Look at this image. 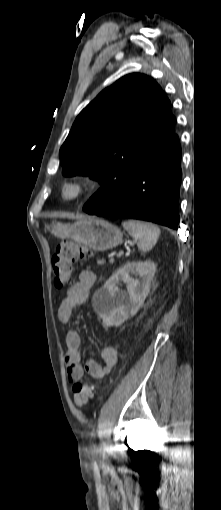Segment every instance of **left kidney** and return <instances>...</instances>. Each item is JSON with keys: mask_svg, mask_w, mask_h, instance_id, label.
I'll return each mask as SVG.
<instances>
[{"mask_svg": "<svg viewBox=\"0 0 221 510\" xmlns=\"http://www.w3.org/2000/svg\"><path fill=\"white\" fill-rule=\"evenodd\" d=\"M155 272L156 264L150 260L128 262L94 293L93 308L102 318L105 328L120 326L138 312L149 293ZM130 274L139 275L141 280L130 277ZM120 281L126 283V291L117 287Z\"/></svg>", "mask_w": 221, "mask_h": 510, "instance_id": "left-kidney-1", "label": "left kidney"}]
</instances>
